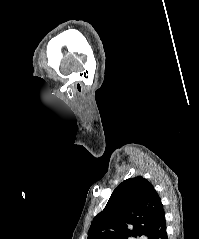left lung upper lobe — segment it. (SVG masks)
Returning a JSON list of instances; mask_svg holds the SVG:
<instances>
[{
  "label": "left lung upper lobe",
  "instance_id": "obj_1",
  "mask_svg": "<svg viewBox=\"0 0 199 239\" xmlns=\"http://www.w3.org/2000/svg\"><path fill=\"white\" fill-rule=\"evenodd\" d=\"M163 211L151 183L141 176L124 180L93 220L87 239H128L146 235ZM133 225V230L128 228Z\"/></svg>",
  "mask_w": 199,
  "mask_h": 239
}]
</instances>
